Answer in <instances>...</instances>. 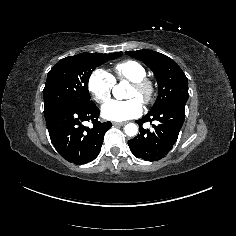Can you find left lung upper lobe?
<instances>
[{"label":"left lung upper lobe","mask_w":236,"mask_h":236,"mask_svg":"<svg viewBox=\"0 0 236 236\" xmlns=\"http://www.w3.org/2000/svg\"><path fill=\"white\" fill-rule=\"evenodd\" d=\"M126 54L144 62L157 79L158 97L149 112L157 111L175 100L187 101L188 79L171 58L152 50L128 51Z\"/></svg>","instance_id":"1"}]
</instances>
